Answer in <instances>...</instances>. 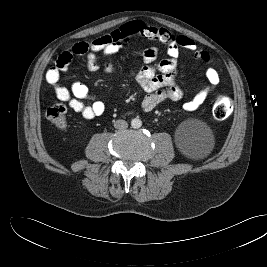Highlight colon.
<instances>
[{
    "mask_svg": "<svg viewBox=\"0 0 267 267\" xmlns=\"http://www.w3.org/2000/svg\"><path fill=\"white\" fill-rule=\"evenodd\" d=\"M233 110V101L229 96L219 95L215 98L212 107V116L215 121H223L227 119ZM46 118L57 128H63L67 123L66 106L57 101L46 110Z\"/></svg>",
    "mask_w": 267,
    "mask_h": 267,
    "instance_id": "colon-1",
    "label": "colon"
}]
</instances>
